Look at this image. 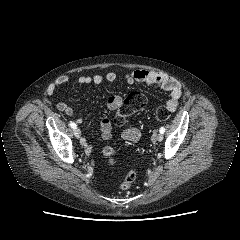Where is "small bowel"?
<instances>
[{"label":"small bowel","instance_id":"1","mask_svg":"<svg viewBox=\"0 0 240 240\" xmlns=\"http://www.w3.org/2000/svg\"><path fill=\"white\" fill-rule=\"evenodd\" d=\"M117 79V74L115 72L109 71L104 75L94 74V75H82L78 78L80 84H100L104 80L108 82H113ZM128 84L145 83L149 85H156L163 90L169 92L170 97L166 103V107L170 112H174L178 108L179 100L182 96V88L180 83L173 77L159 73L156 71H149L144 69H138L131 73H127L124 77ZM69 77L66 75L58 77L49 87V94L53 95L56 88L68 83ZM123 104V98L119 95H114L108 98L106 106L110 111H117ZM56 108L69 115L73 116V109L64 102H58ZM75 122L80 124L82 122L81 118H76ZM100 130L102 133V139L108 141L112 136V123L108 118H103L100 122ZM142 132L140 129L132 127L127 128L122 132V137L128 141H137L140 139ZM81 144L86 153H90L93 149L92 145L89 144L84 138L81 140Z\"/></svg>","mask_w":240,"mask_h":240}]
</instances>
